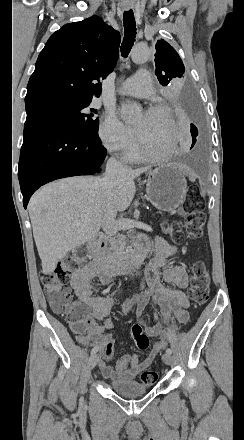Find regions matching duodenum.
Here are the masks:
<instances>
[{"mask_svg": "<svg viewBox=\"0 0 244 440\" xmlns=\"http://www.w3.org/2000/svg\"><path fill=\"white\" fill-rule=\"evenodd\" d=\"M104 246L103 236L95 235L87 242V255L110 275L137 271L143 264L148 250L147 245L141 240L139 248L134 254L115 258L103 253Z\"/></svg>", "mask_w": 244, "mask_h": 440, "instance_id": "duodenum-1", "label": "duodenum"}]
</instances>
